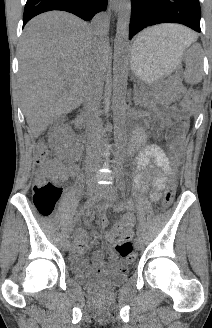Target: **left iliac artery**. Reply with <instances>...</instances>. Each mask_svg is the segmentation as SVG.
<instances>
[{
  "instance_id": "obj_1",
  "label": "left iliac artery",
  "mask_w": 212,
  "mask_h": 328,
  "mask_svg": "<svg viewBox=\"0 0 212 328\" xmlns=\"http://www.w3.org/2000/svg\"><path fill=\"white\" fill-rule=\"evenodd\" d=\"M118 187H119V189H120L121 191L124 190V184H123V182H122L121 180L118 181ZM136 234H137L138 237H141V235H142V231H141L140 227H137Z\"/></svg>"
}]
</instances>
